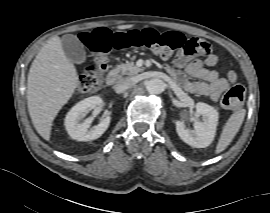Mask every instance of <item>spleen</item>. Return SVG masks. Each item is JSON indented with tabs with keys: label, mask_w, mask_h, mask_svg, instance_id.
Segmentation results:
<instances>
[{
	"label": "spleen",
	"mask_w": 270,
	"mask_h": 213,
	"mask_svg": "<svg viewBox=\"0 0 270 213\" xmlns=\"http://www.w3.org/2000/svg\"><path fill=\"white\" fill-rule=\"evenodd\" d=\"M245 117V110L233 113L225 123L220 139L216 146L215 153L219 154L224 151L232 142L233 138L239 131Z\"/></svg>",
	"instance_id": "3e777b00"
}]
</instances>
